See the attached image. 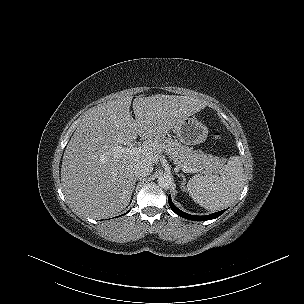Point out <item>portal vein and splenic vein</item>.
<instances>
[{"mask_svg":"<svg viewBox=\"0 0 304 304\" xmlns=\"http://www.w3.org/2000/svg\"><path fill=\"white\" fill-rule=\"evenodd\" d=\"M114 150L117 151V152L123 153V152L138 151V150H140V148L137 147V146H129V147L118 146ZM182 171L184 173H196L197 172V170L189 168V167H185V166L182 168Z\"/></svg>","mask_w":304,"mask_h":304,"instance_id":"obj_1","label":"portal vein and splenic vein"}]
</instances>
